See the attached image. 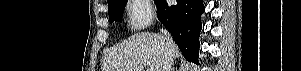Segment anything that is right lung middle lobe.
<instances>
[{
    "label": "right lung middle lobe",
    "mask_w": 301,
    "mask_h": 71,
    "mask_svg": "<svg viewBox=\"0 0 301 71\" xmlns=\"http://www.w3.org/2000/svg\"><path fill=\"white\" fill-rule=\"evenodd\" d=\"M126 2L127 0H111L110 2H108V14L110 23H112L113 21L121 20V15Z\"/></svg>",
    "instance_id": "obj_1"
}]
</instances>
